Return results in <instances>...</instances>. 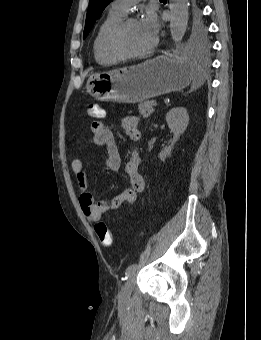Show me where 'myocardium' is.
Listing matches in <instances>:
<instances>
[{
	"mask_svg": "<svg viewBox=\"0 0 261 340\" xmlns=\"http://www.w3.org/2000/svg\"><path fill=\"white\" fill-rule=\"evenodd\" d=\"M138 22L135 17L127 16L116 23L107 34L105 46L107 51L120 59H130L144 56L150 53L157 45V38L154 37L152 43L145 49L137 52H127L119 45V40L123 31L132 23Z\"/></svg>",
	"mask_w": 261,
	"mask_h": 340,
	"instance_id": "f54148a6",
	"label": "myocardium"
}]
</instances>
